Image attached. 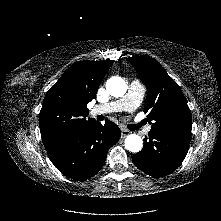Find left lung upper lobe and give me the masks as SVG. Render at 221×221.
<instances>
[{
	"instance_id": "obj_1",
	"label": "left lung upper lobe",
	"mask_w": 221,
	"mask_h": 221,
	"mask_svg": "<svg viewBox=\"0 0 221 221\" xmlns=\"http://www.w3.org/2000/svg\"><path fill=\"white\" fill-rule=\"evenodd\" d=\"M148 89L144 112L152 122L151 131L189 139L191 112L177 83L153 58L141 55L127 58Z\"/></svg>"
}]
</instances>
